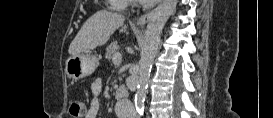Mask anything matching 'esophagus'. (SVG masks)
<instances>
[{"mask_svg": "<svg viewBox=\"0 0 273 118\" xmlns=\"http://www.w3.org/2000/svg\"><path fill=\"white\" fill-rule=\"evenodd\" d=\"M154 10L147 12L146 14L142 15L136 22L138 26L145 25L152 17Z\"/></svg>", "mask_w": 273, "mask_h": 118, "instance_id": "34e87169", "label": "esophagus"}]
</instances>
